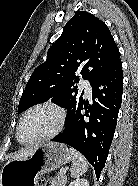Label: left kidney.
<instances>
[{
    "label": "left kidney",
    "instance_id": "left-kidney-1",
    "mask_svg": "<svg viewBox=\"0 0 138 186\" xmlns=\"http://www.w3.org/2000/svg\"><path fill=\"white\" fill-rule=\"evenodd\" d=\"M69 186H89V182L87 179H76L72 181Z\"/></svg>",
    "mask_w": 138,
    "mask_h": 186
}]
</instances>
